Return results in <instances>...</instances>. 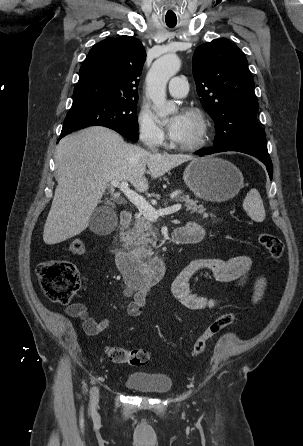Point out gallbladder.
I'll return each mask as SVG.
<instances>
[{
	"label": "gallbladder",
	"instance_id": "1",
	"mask_svg": "<svg viewBox=\"0 0 303 446\" xmlns=\"http://www.w3.org/2000/svg\"><path fill=\"white\" fill-rule=\"evenodd\" d=\"M115 212L109 207H99L91 215L89 221L90 230L103 234L109 232L116 224Z\"/></svg>",
	"mask_w": 303,
	"mask_h": 446
}]
</instances>
